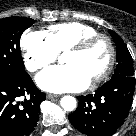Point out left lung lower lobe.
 <instances>
[{"label": "left lung lower lobe", "instance_id": "0a47b994", "mask_svg": "<svg viewBox=\"0 0 136 136\" xmlns=\"http://www.w3.org/2000/svg\"><path fill=\"white\" fill-rule=\"evenodd\" d=\"M134 89L135 77L111 79L94 95L78 96L79 105L68 118L88 136L111 135L128 116Z\"/></svg>", "mask_w": 136, "mask_h": 136}]
</instances>
